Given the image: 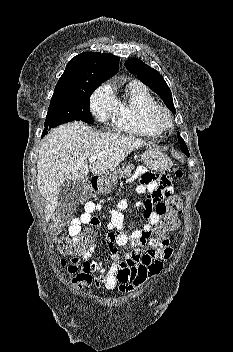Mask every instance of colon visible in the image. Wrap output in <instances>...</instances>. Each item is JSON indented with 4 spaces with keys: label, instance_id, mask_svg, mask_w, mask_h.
<instances>
[{
    "label": "colon",
    "instance_id": "5ec220e1",
    "mask_svg": "<svg viewBox=\"0 0 233 352\" xmlns=\"http://www.w3.org/2000/svg\"><path fill=\"white\" fill-rule=\"evenodd\" d=\"M175 175L176 177L181 178L183 176V172L180 169H177L175 171ZM156 209L161 218L155 231L158 237L165 238L170 231L176 229L179 225L178 216L182 212L181 198L179 196H171L168 198L166 203L158 205ZM66 223V217H59L52 224L51 233L54 236V244L62 255H80L89 245L92 244L94 234L92 231L86 230L79 237H62L59 234ZM94 282L95 284H98L96 278H94Z\"/></svg>",
    "mask_w": 233,
    "mask_h": 352
}]
</instances>
